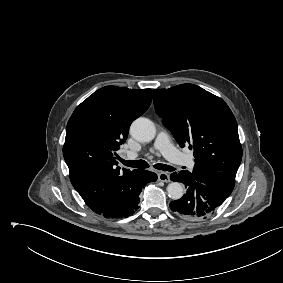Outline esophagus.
Returning a JSON list of instances; mask_svg holds the SVG:
<instances>
[{"label": "esophagus", "instance_id": "esophagus-1", "mask_svg": "<svg viewBox=\"0 0 283 283\" xmlns=\"http://www.w3.org/2000/svg\"><path fill=\"white\" fill-rule=\"evenodd\" d=\"M158 180L168 183V182H170V176L167 172L162 171V172L158 173Z\"/></svg>", "mask_w": 283, "mask_h": 283}]
</instances>
